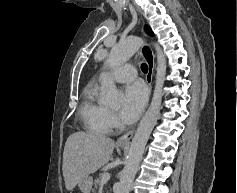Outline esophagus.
<instances>
[{
    "label": "esophagus",
    "instance_id": "34e87169",
    "mask_svg": "<svg viewBox=\"0 0 237 193\" xmlns=\"http://www.w3.org/2000/svg\"><path fill=\"white\" fill-rule=\"evenodd\" d=\"M143 36L145 37V34H143ZM141 51L148 65V73L146 76V82L149 87V92H151L152 80H153V74H154V68H155V56H154L152 48L147 42H144V44L142 45ZM133 134H134V130H130L126 132L117 140V144L128 145L130 143V139L132 138Z\"/></svg>",
    "mask_w": 237,
    "mask_h": 193
}]
</instances>
